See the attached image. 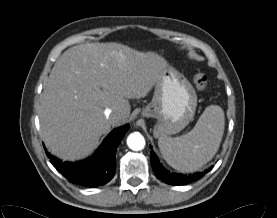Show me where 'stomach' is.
<instances>
[{
    "label": "stomach",
    "mask_w": 277,
    "mask_h": 218,
    "mask_svg": "<svg viewBox=\"0 0 277 218\" xmlns=\"http://www.w3.org/2000/svg\"><path fill=\"white\" fill-rule=\"evenodd\" d=\"M197 94L183 74L167 66L155 84L152 101L142 110V116L157 119L156 138L182 131L193 119Z\"/></svg>",
    "instance_id": "1"
}]
</instances>
